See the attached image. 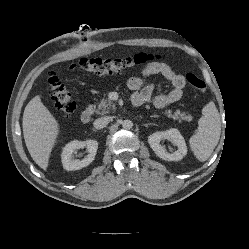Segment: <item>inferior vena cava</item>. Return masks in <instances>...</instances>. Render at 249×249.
Here are the masks:
<instances>
[{"instance_id": "1", "label": "inferior vena cava", "mask_w": 249, "mask_h": 249, "mask_svg": "<svg viewBox=\"0 0 249 249\" xmlns=\"http://www.w3.org/2000/svg\"><path fill=\"white\" fill-rule=\"evenodd\" d=\"M110 117L106 116V117H101L98 118L94 121L93 126L96 129H102L104 127H106L108 125V123L110 122Z\"/></svg>"}]
</instances>
